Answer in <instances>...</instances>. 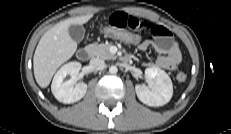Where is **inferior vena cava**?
Instances as JSON below:
<instances>
[{"label":"inferior vena cava","mask_w":231,"mask_h":134,"mask_svg":"<svg viewBox=\"0 0 231 134\" xmlns=\"http://www.w3.org/2000/svg\"><path fill=\"white\" fill-rule=\"evenodd\" d=\"M90 65L93 67V68H101L105 65V62L103 59L101 58H92L90 60Z\"/></svg>","instance_id":"602c4592"}]
</instances>
